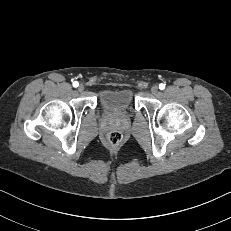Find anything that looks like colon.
Wrapping results in <instances>:
<instances>
[{
  "instance_id": "1",
  "label": "colon",
  "mask_w": 231,
  "mask_h": 231,
  "mask_svg": "<svg viewBox=\"0 0 231 231\" xmlns=\"http://www.w3.org/2000/svg\"><path fill=\"white\" fill-rule=\"evenodd\" d=\"M107 140L111 146H117L122 141V134L119 131L113 130L108 133Z\"/></svg>"
}]
</instances>
